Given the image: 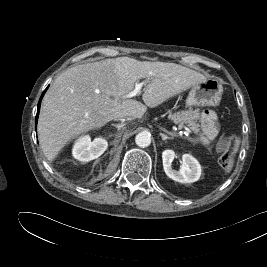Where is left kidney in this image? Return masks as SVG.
<instances>
[{
	"label": "left kidney",
	"instance_id": "left-kidney-1",
	"mask_svg": "<svg viewBox=\"0 0 267 267\" xmlns=\"http://www.w3.org/2000/svg\"><path fill=\"white\" fill-rule=\"evenodd\" d=\"M175 157L176 154L173 150L166 149L162 152L163 168L169 178L180 183H193L199 180L201 165L192 155L184 154L182 156V165L179 171L172 169L171 166Z\"/></svg>",
	"mask_w": 267,
	"mask_h": 267
}]
</instances>
